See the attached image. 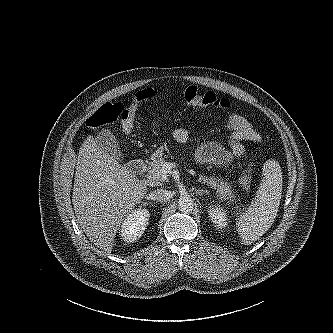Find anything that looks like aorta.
Listing matches in <instances>:
<instances>
[{
	"label": "aorta",
	"mask_w": 333,
	"mask_h": 333,
	"mask_svg": "<svg viewBox=\"0 0 333 333\" xmlns=\"http://www.w3.org/2000/svg\"><path fill=\"white\" fill-rule=\"evenodd\" d=\"M178 208L182 213H190L194 208V203L189 195H181L178 201Z\"/></svg>",
	"instance_id": "aorta-1"
}]
</instances>
